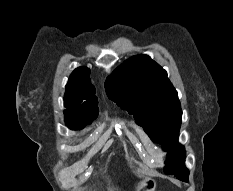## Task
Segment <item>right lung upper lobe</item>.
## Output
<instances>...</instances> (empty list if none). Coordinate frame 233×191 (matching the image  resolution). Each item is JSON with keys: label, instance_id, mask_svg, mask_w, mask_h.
Wrapping results in <instances>:
<instances>
[{"label": "right lung upper lobe", "instance_id": "obj_1", "mask_svg": "<svg viewBox=\"0 0 233 191\" xmlns=\"http://www.w3.org/2000/svg\"><path fill=\"white\" fill-rule=\"evenodd\" d=\"M94 95L95 87L90 81V70L87 67L75 69L66 85L64 105L69 109L64 111L65 115L71 117L98 115V99Z\"/></svg>", "mask_w": 233, "mask_h": 191}]
</instances>
